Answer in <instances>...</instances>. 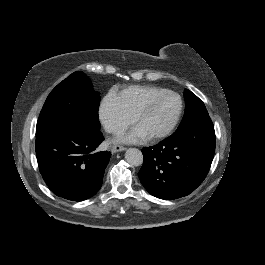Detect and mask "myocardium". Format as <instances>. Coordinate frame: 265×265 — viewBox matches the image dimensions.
<instances>
[{
  "label": "myocardium",
  "instance_id": "obj_1",
  "mask_svg": "<svg viewBox=\"0 0 265 265\" xmlns=\"http://www.w3.org/2000/svg\"><path fill=\"white\" fill-rule=\"evenodd\" d=\"M162 93H168V94H171L173 96H176L180 102L179 109H178L176 116L170 122H168L163 127H161L157 132L147 136V138L149 140H156V139H159V138L166 136L173 129V127L178 123V121L180 120L182 113H183L184 101H183L182 96L179 93H177L173 90H170V89H158V90L154 91L144 101V103L140 106V108L135 113V115H134V123L135 124H137L138 118L149 108V106L151 105L153 100L156 98V96L159 94H162Z\"/></svg>",
  "mask_w": 265,
  "mask_h": 265
}]
</instances>
